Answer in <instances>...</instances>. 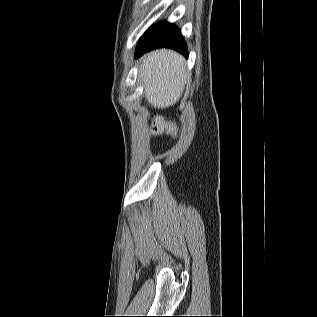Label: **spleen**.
<instances>
[{
  "label": "spleen",
  "mask_w": 317,
  "mask_h": 317,
  "mask_svg": "<svg viewBox=\"0 0 317 317\" xmlns=\"http://www.w3.org/2000/svg\"><path fill=\"white\" fill-rule=\"evenodd\" d=\"M146 98L154 107L165 108L181 97L188 74L181 55L159 50L148 54L139 71Z\"/></svg>",
  "instance_id": "3e777b00"
}]
</instances>
